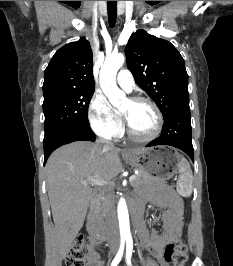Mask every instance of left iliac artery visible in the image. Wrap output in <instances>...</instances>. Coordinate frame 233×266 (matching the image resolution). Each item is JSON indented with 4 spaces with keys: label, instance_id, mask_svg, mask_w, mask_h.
<instances>
[{
    "label": "left iliac artery",
    "instance_id": "44dca946",
    "mask_svg": "<svg viewBox=\"0 0 233 266\" xmlns=\"http://www.w3.org/2000/svg\"><path fill=\"white\" fill-rule=\"evenodd\" d=\"M132 250H133V239L131 236H129L126 239V262L128 266H132L131 263Z\"/></svg>",
    "mask_w": 233,
    "mask_h": 266
}]
</instances>
